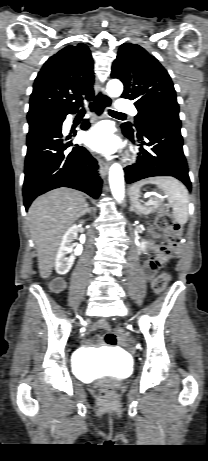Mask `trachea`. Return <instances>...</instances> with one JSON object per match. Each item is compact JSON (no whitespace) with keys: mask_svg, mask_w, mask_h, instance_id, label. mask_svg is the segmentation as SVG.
Segmentation results:
<instances>
[{"mask_svg":"<svg viewBox=\"0 0 208 461\" xmlns=\"http://www.w3.org/2000/svg\"><path fill=\"white\" fill-rule=\"evenodd\" d=\"M96 101H97V102H104V103H108V104H109V102H110L109 99H108L106 96L102 95V94H99V95L96 97ZM84 111H85V108H82V109H81V112H84ZM109 113H110L111 115L125 116V114L120 113V112H117V111H114V110H109Z\"/></svg>","mask_w":208,"mask_h":461,"instance_id":"3493384b","label":"trachea"}]
</instances>
